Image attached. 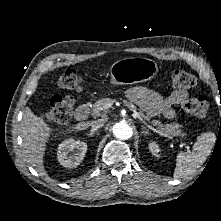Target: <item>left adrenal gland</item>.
I'll return each mask as SVG.
<instances>
[{
    "mask_svg": "<svg viewBox=\"0 0 221 221\" xmlns=\"http://www.w3.org/2000/svg\"><path fill=\"white\" fill-rule=\"evenodd\" d=\"M142 133H144V134H150V132H149V130L148 129H146L144 126H142Z\"/></svg>",
    "mask_w": 221,
    "mask_h": 221,
    "instance_id": "a2214340",
    "label": "left adrenal gland"
}]
</instances>
